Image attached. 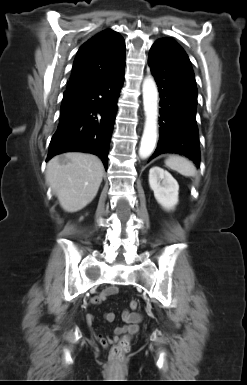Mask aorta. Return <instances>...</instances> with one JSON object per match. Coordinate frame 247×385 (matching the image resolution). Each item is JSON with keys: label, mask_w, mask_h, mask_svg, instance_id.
<instances>
[{"label": "aorta", "mask_w": 247, "mask_h": 385, "mask_svg": "<svg viewBox=\"0 0 247 385\" xmlns=\"http://www.w3.org/2000/svg\"><path fill=\"white\" fill-rule=\"evenodd\" d=\"M145 125L139 148V156L147 158L155 149L158 130V89L155 80L146 77L142 85Z\"/></svg>", "instance_id": "1"}]
</instances>
